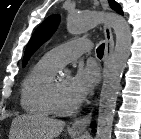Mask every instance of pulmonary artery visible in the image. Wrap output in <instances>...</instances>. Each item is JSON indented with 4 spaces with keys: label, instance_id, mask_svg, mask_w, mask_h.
Masks as SVG:
<instances>
[{
    "label": "pulmonary artery",
    "instance_id": "1",
    "mask_svg": "<svg viewBox=\"0 0 141 139\" xmlns=\"http://www.w3.org/2000/svg\"><path fill=\"white\" fill-rule=\"evenodd\" d=\"M91 48L92 44L89 40H73L51 49L44 57L60 68L83 53L89 52Z\"/></svg>",
    "mask_w": 141,
    "mask_h": 139
}]
</instances>
